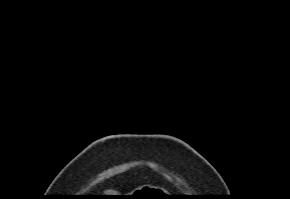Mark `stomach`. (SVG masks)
<instances>
[{
    "label": "stomach",
    "mask_w": 290,
    "mask_h": 199,
    "mask_svg": "<svg viewBox=\"0 0 290 199\" xmlns=\"http://www.w3.org/2000/svg\"><path fill=\"white\" fill-rule=\"evenodd\" d=\"M142 189H143V187L139 189V192L142 191ZM147 189L148 190H154V191H156L157 189H161L163 192H165L164 189L158 188V187H155V186H147ZM148 193H151V192L149 191ZM131 195H133V194H131Z\"/></svg>",
    "instance_id": "0dacf381"
}]
</instances>
